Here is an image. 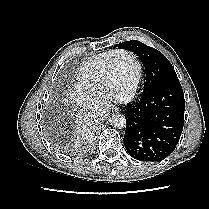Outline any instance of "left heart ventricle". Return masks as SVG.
I'll list each match as a JSON object with an SVG mask.
<instances>
[{"instance_id": "left-heart-ventricle-1", "label": "left heart ventricle", "mask_w": 209, "mask_h": 209, "mask_svg": "<svg viewBox=\"0 0 209 209\" xmlns=\"http://www.w3.org/2000/svg\"><path fill=\"white\" fill-rule=\"evenodd\" d=\"M137 77L134 61L127 55L114 59L113 70L108 89L111 99H121L129 95Z\"/></svg>"}]
</instances>
